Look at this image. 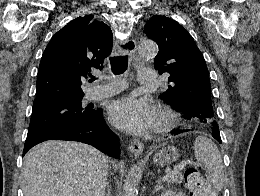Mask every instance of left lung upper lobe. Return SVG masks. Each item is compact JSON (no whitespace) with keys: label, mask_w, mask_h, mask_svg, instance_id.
<instances>
[{"label":"left lung upper lobe","mask_w":260,"mask_h":196,"mask_svg":"<svg viewBox=\"0 0 260 196\" xmlns=\"http://www.w3.org/2000/svg\"><path fill=\"white\" fill-rule=\"evenodd\" d=\"M144 33L159 46L155 68L160 74H170L171 85L159 97L194 124L211 128L216 117L204 120L189 117L194 108H213L208 69L191 35L175 20L162 15H153Z\"/></svg>","instance_id":"left-lung-upper-lobe-1"}]
</instances>
